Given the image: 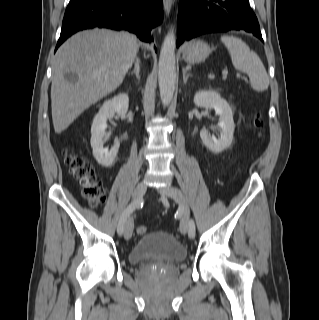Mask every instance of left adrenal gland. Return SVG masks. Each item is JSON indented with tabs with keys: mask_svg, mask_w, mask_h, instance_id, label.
Returning <instances> with one entry per match:
<instances>
[{
	"mask_svg": "<svg viewBox=\"0 0 319 320\" xmlns=\"http://www.w3.org/2000/svg\"><path fill=\"white\" fill-rule=\"evenodd\" d=\"M182 72H183V82H184V84H186V82H187L188 78L191 76V74L187 73L186 69H184V68L182 69Z\"/></svg>",
	"mask_w": 319,
	"mask_h": 320,
	"instance_id": "1",
	"label": "left adrenal gland"
}]
</instances>
